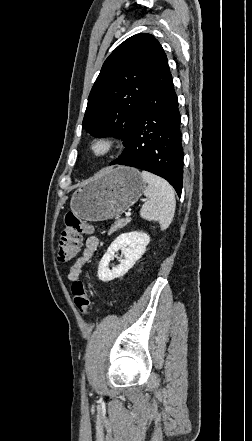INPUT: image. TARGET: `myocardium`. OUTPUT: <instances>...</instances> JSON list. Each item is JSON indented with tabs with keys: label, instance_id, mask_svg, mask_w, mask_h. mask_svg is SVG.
Listing matches in <instances>:
<instances>
[{
	"label": "myocardium",
	"instance_id": "1",
	"mask_svg": "<svg viewBox=\"0 0 252 441\" xmlns=\"http://www.w3.org/2000/svg\"><path fill=\"white\" fill-rule=\"evenodd\" d=\"M115 140L110 136L94 138L88 145V152L95 159H104L115 151Z\"/></svg>",
	"mask_w": 252,
	"mask_h": 441
}]
</instances>
